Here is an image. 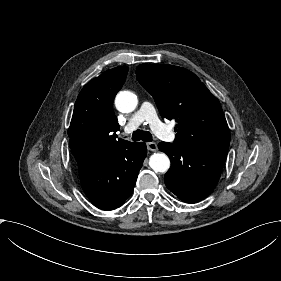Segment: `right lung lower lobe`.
I'll list each match as a JSON object with an SVG mask.
<instances>
[{
	"instance_id": "right-lung-lower-lobe-1",
	"label": "right lung lower lobe",
	"mask_w": 281,
	"mask_h": 281,
	"mask_svg": "<svg viewBox=\"0 0 281 281\" xmlns=\"http://www.w3.org/2000/svg\"><path fill=\"white\" fill-rule=\"evenodd\" d=\"M147 154L143 142L130 143L110 157L77 163L82 188L89 200L102 210L123 205L133 192Z\"/></svg>"
}]
</instances>
